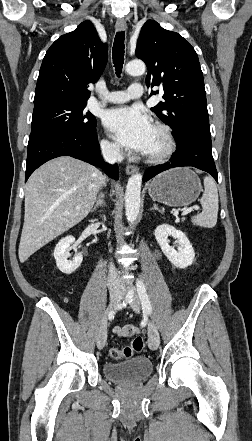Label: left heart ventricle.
<instances>
[{
	"label": "left heart ventricle",
	"mask_w": 252,
	"mask_h": 441,
	"mask_svg": "<svg viewBox=\"0 0 252 441\" xmlns=\"http://www.w3.org/2000/svg\"><path fill=\"white\" fill-rule=\"evenodd\" d=\"M163 148H164V140L161 134L156 129H154L153 139L146 153L147 154L158 153Z\"/></svg>",
	"instance_id": "obj_1"
}]
</instances>
